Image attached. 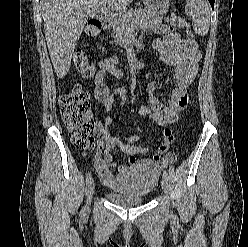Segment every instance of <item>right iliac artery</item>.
<instances>
[{"label": "right iliac artery", "instance_id": "1", "mask_svg": "<svg viewBox=\"0 0 248 247\" xmlns=\"http://www.w3.org/2000/svg\"><path fill=\"white\" fill-rule=\"evenodd\" d=\"M91 180H92L91 173H88L86 177V185H88L91 182ZM84 213H85V208H82L81 215H84Z\"/></svg>", "mask_w": 248, "mask_h": 247}]
</instances>
